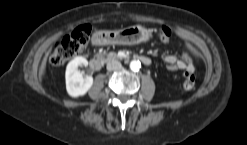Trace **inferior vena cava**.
I'll use <instances>...</instances> for the list:
<instances>
[{
    "instance_id": "602c4592",
    "label": "inferior vena cava",
    "mask_w": 247,
    "mask_h": 145,
    "mask_svg": "<svg viewBox=\"0 0 247 145\" xmlns=\"http://www.w3.org/2000/svg\"><path fill=\"white\" fill-rule=\"evenodd\" d=\"M122 67L121 63L117 60H112L107 63V70L108 71H115L119 70Z\"/></svg>"
}]
</instances>
